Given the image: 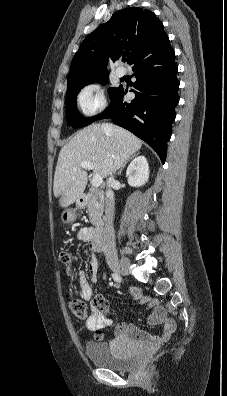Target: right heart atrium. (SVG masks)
Segmentation results:
<instances>
[{
    "mask_svg": "<svg viewBox=\"0 0 227 396\" xmlns=\"http://www.w3.org/2000/svg\"><path fill=\"white\" fill-rule=\"evenodd\" d=\"M80 111L85 117H93L106 107L105 90L99 83L85 85L77 96Z\"/></svg>",
    "mask_w": 227,
    "mask_h": 396,
    "instance_id": "right-heart-atrium-1",
    "label": "right heart atrium"
}]
</instances>
